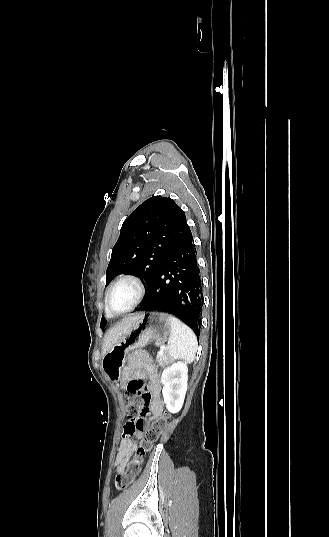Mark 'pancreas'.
Returning <instances> with one entry per match:
<instances>
[{
  "instance_id": "obj_1",
  "label": "pancreas",
  "mask_w": 329,
  "mask_h": 537,
  "mask_svg": "<svg viewBox=\"0 0 329 537\" xmlns=\"http://www.w3.org/2000/svg\"><path fill=\"white\" fill-rule=\"evenodd\" d=\"M157 362L159 363V365L165 366L171 362V358L168 356L166 352H164L163 354L158 353Z\"/></svg>"
}]
</instances>
